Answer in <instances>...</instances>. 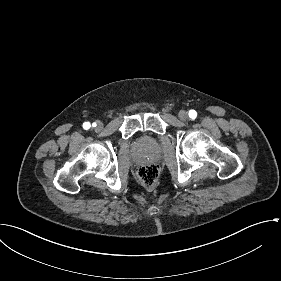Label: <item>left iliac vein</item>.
<instances>
[{
  "instance_id": "4c4485c4",
  "label": "left iliac vein",
  "mask_w": 281,
  "mask_h": 281,
  "mask_svg": "<svg viewBox=\"0 0 281 281\" xmlns=\"http://www.w3.org/2000/svg\"><path fill=\"white\" fill-rule=\"evenodd\" d=\"M178 117L181 121H186L188 119V113L184 110H181L179 113H178Z\"/></svg>"
}]
</instances>
